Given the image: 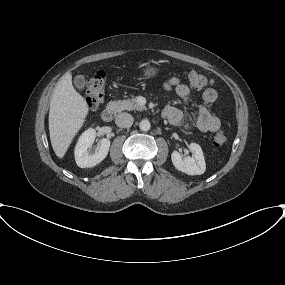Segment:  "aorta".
Here are the masks:
<instances>
[{
  "label": "aorta",
  "instance_id": "aorta-1",
  "mask_svg": "<svg viewBox=\"0 0 285 285\" xmlns=\"http://www.w3.org/2000/svg\"><path fill=\"white\" fill-rule=\"evenodd\" d=\"M139 127L142 131L146 132L150 130L151 124L147 119H144L141 120Z\"/></svg>",
  "mask_w": 285,
  "mask_h": 285
}]
</instances>
